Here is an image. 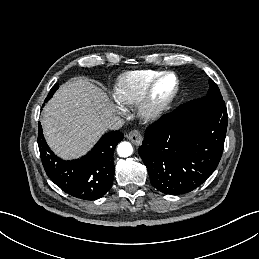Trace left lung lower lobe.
I'll return each instance as SVG.
<instances>
[{
    "label": "left lung lower lobe",
    "instance_id": "1",
    "mask_svg": "<svg viewBox=\"0 0 259 259\" xmlns=\"http://www.w3.org/2000/svg\"><path fill=\"white\" fill-rule=\"evenodd\" d=\"M180 105L145 131L139 155L152 185L165 194H183L214 172L224 149L225 105Z\"/></svg>",
    "mask_w": 259,
    "mask_h": 259
}]
</instances>
